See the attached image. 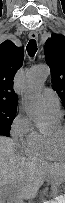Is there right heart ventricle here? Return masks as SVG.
Here are the masks:
<instances>
[{"label":"right heart ventricle","mask_w":65,"mask_h":203,"mask_svg":"<svg viewBox=\"0 0 65 203\" xmlns=\"http://www.w3.org/2000/svg\"><path fill=\"white\" fill-rule=\"evenodd\" d=\"M27 155L41 160H58L62 157L60 153L54 150L49 137L44 133H38L37 140L27 150Z\"/></svg>","instance_id":"1"}]
</instances>
